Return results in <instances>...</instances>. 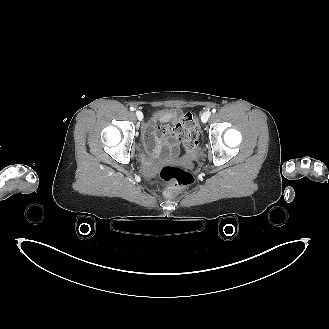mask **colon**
Returning <instances> with one entry per match:
<instances>
[{"mask_svg": "<svg viewBox=\"0 0 329 329\" xmlns=\"http://www.w3.org/2000/svg\"><path fill=\"white\" fill-rule=\"evenodd\" d=\"M184 130V145L187 154L195 159L198 155V138L200 135L194 116L186 112L182 116ZM159 178L168 185L167 195L172 197L181 188L194 185L196 178L192 171L173 165H164L158 171Z\"/></svg>", "mask_w": 329, "mask_h": 329, "instance_id": "5ec220e1", "label": "colon"}]
</instances>
